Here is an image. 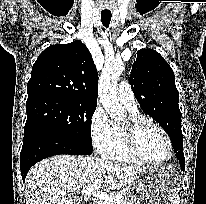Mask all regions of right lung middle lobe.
Segmentation results:
<instances>
[{"label":"right lung middle lobe","instance_id":"1","mask_svg":"<svg viewBox=\"0 0 206 204\" xmlns=\"http://www.w3.org/2000/svg\"><path fill=\"white\" fill-rule=\"evenodd\" d=\"M97 103L41 97L26 102L24 139L52 135L92 153L90 122Z\"/></svg>","mask_w":206,"mask_h":204}]
</instances>
